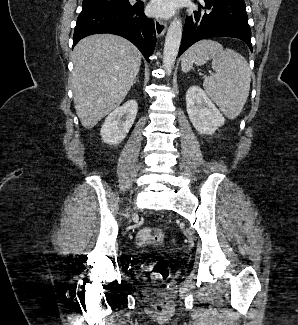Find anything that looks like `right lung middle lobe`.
Segmentation results:
<instances>
[{
    "label": "right lung middle lobe",
    "instance_id": "right-lung-middle-lobe-1",
    "mask_svg": "<svg viewBox=\"0 0 298 325\" xmlns=\"http://www.w3.org/2000/svg\"><path fill=\"white\" fill-rule=\"evenodd\" d=\"M131 6L128 0H83L82 10Z\"/></svg>",
    "mask_w": 298,
    "mask_h": 325
}]
</instances>
